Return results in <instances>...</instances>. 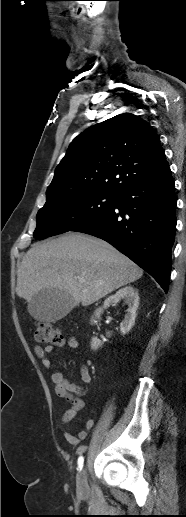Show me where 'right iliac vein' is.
Instances as JSON below:
<instances>
[{
	"label": "right iliac vein",
	"mask_w": 186,
	"mask_h": 517,
	"mask_svg": "<svg viewBox=\"0 0 186 517\" xmlns=\"http://www.w3.org/2000/svg\"><path fill=\"white\" fill-rule=\"evenodd\" d=\"M87 488V479L86 472L84 469H81L77 476V490L80 493H84Z\"/></svg>",
	"instance_id": "obj_1"
}]
</instances>
